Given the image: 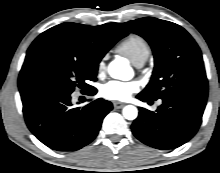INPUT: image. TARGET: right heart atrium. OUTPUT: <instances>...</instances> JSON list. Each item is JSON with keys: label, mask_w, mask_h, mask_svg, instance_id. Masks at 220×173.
Listing matches in <instances>:
<instances>
[{"label": "right heart atrium", "mask_w": 220, "mask_h": 173, "mask_svg": "<svg viewBox=\"0 0 220 173\" xmlns=\"http://www.w3.org/2000/svg\"><path fill=\"white\" fill-rule=\"evenodd\" d=\"M105 64L103 61H100L98 64V71L102 72L104 70Z\"/></svg>", "instance_id": "obj_1"}]
</instances>
